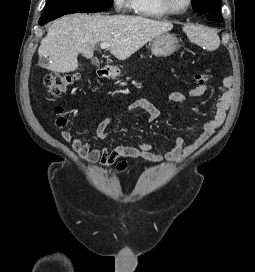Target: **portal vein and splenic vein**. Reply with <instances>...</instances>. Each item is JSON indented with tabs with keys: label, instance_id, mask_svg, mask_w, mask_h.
<instances>
[{
	"label": "portal vein and splenic vein",
	"instance_id": "18ae733b",
	"mask_svg": "<svg viewBox=\"0 0 255 272\" xmlns=\"http://www.w3.org/2000/svg\"><path fill=\"white\" fill-rule=\"evenodd\" d=\"M110 46H111V44H110V43H107V42H102V43L100 44L101 49H107V48H109Z\"/></svg>",
	"mask_w": 255,
	"mask_h": 272
}]
</instances>
